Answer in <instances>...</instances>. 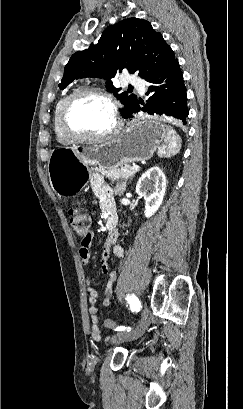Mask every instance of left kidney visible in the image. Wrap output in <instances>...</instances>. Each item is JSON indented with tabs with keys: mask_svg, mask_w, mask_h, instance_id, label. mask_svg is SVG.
Returning a JSON list of instances; mask_svg holds the SVG:
<instances>
[{
	"mask_svg": "<svg viewBox=\"0 0 243 409\" xmlns=\"http://www.w3.org/2000/svg\"><path fill=\"white\" fill-rule=\"evenodd\" d=\"M166 191V177L155 166L147 170L136 185V193L145 200V217L149 218L160 208Z\"/></svg>",
	"mask_w": 243,
	"mask_h": 409,
	"instance_id": "5707ae66",
	"label": "left kidney"
}]
</instances>
